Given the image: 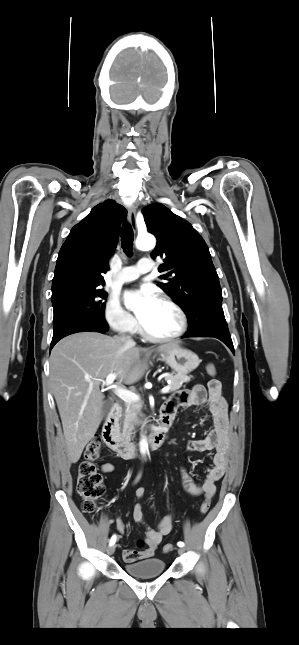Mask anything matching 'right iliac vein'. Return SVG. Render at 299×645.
Listing matches in <instances>:
<instances>
[{"instance_id":"1","label":"right iliac vein","mask_w":299,"mask_h":645,"mask_svg":"<svg viewBox=\"0 0 299 645\" xmlns=\"http://www.w3.org/2000/svg\"><path fill=\"white\" fill-rule=\"evenodd\" d=\"M115 552V545H110L107 549L108 555H112Z\"/></svg>"}]
</instances>
